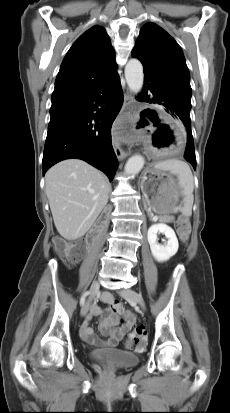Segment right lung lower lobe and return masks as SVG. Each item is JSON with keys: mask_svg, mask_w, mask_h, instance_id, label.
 Here are the masks:
<instances>
[{"mask_svg": "<svg viewBox=\"0 0 230 413\" xmlns=\"http://www.w3.org/2000/svg\"><path fill=\"white\" fill-rule=\"evenodd\" d=\"M123 104L119 75L90 91L52 101L43 153V175L59 161L78 158L113 179L118 160L111 127Z\"/></svg>", "mask_w": 230, "mask_h": 413, "instance_id": "right-lung-lower-lobe-1", "label": "right lung lower lobe"}]
</instances>
